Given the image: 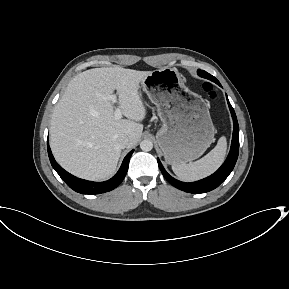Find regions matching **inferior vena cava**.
<instances>
[{"label":"inferior vena cava","instance_id":"1","mask_svg":"<svg viewBox=\"0 0 289 289\" xmlns=\"http://www.w3.org/2000/svg\"><path fill=\"white\" fill-rule=\"evenodd\" d=\"M117 144L121 149H124L128 146L129 144V139L128 137L122 136L120 138H118L117 140Z\"/></svg>","mask_w":289,"mask_h":289}]
</instances>
